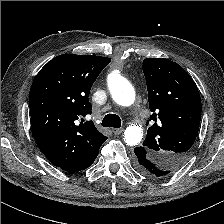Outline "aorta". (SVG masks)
I'll use <instances>...</instances> for the list:
<instances>
[{
    "label": "aorta",
    "mask_w": 224,
    "mask_h": 224,
    "mask_svg": "<svg viewBox=\"0 0 224 224\" xmlns=\"http://www.w3.org/2000/svg\"><path fill=\"white\" fill-rule=\"evenodd\" d=\"M108 88L113 100L121 106H130L135 101V91L130 82L119 74H110ZM143 138V129L137 125H131L124 131V141L128 146H135Z\"/></svg>",
    "instance_id": "762f6f07"
}]
</instances>
